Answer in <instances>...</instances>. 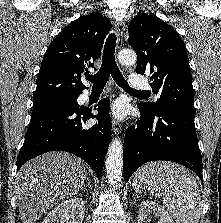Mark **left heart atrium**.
<instances>
[{
	"mask_svg": "<svg viewBox=\"0 0 221 223\" xmlns=\"http://www.w3.org/2000/svg\"><path fill=\"white\" fill-rule=\"evenodd\" d=\"M111 113L115 118L121 119L126 115V107L123 102H116L112 109Z\"/></svg>",
	"mask_w": 221,
	"mask_h": 223,
	"instance_id": "39dd6f15",
	"label": "left heart atrium"
}]
</instances>
